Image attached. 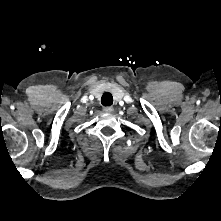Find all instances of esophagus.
Masks as SVG:
<instances>
[{
  "label": "esophagus",
  "mask_w": 221,
  "mask_h": 221,
  "mask_svg": "<svg viewBox=\"0 0 221 221\" xmlns=\"http://www.w3.org/2000/svg\"><path fill=\"white\" fill-rule=\"evenodd\" d=\"M113 107H111V106H105V107H103V111L104 112H106V113H111V112H113Z\"/></svg>",
  "instance_id": "obj_1"
}]
</instances>
